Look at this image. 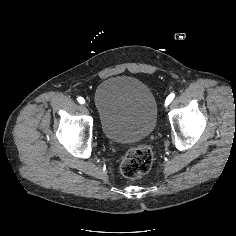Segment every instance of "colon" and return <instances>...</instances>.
<instances>
[{
  "mask_svg": "<svg viewBox=\"0 0 236 236\" xmlns=\"http://www.w3.org/2000/svg\"><path fill=\"white\" fill-rule=\"evenodd\" d=\"M154 160L152 149L147 145L131 147L120 164L122 175L128 179H138L147 173Z\"/></svg>",
  "mask_w": 236,
  "mask_h": 236,
  "instance_id": "colon-1",
  "label": "colon"
}]
</instances>
